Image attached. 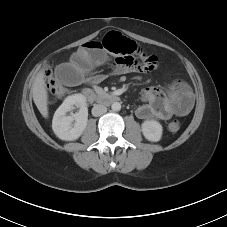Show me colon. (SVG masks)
Returning <instances> with one entry per match:
<instances>
[{"instance_id": "5ec220e1", "label": "colon", "mask_w": 227, "mask_h": 227, "mask_svg": "<svg viewBox=\"0 0 227 227\" xmlns=\"http://www.w3.org/2000/svg\"><path fill=\"white\" fill-rule=\"evenodd\" d=\"M98 42L103 45L105 50L116 55L117 58L133 57L139 60L142 71H151L158 67V61L155 56L143 52L134 41L118 32H110ZM45 86L51 101L61 98L68 93V89L56 80L50 70H47L45 73ZM180 127L181 122L178 119L172 120L168 125V129L171 132H177Z\"/></svg>"}]
</instances>
